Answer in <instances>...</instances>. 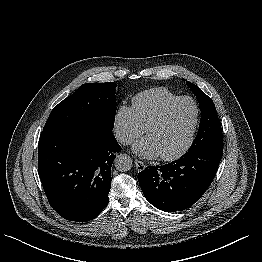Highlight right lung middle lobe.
Listing matches in <instances>:
<instances>
[{"instance_id": "right-lung-middle-lobe-1", "label": "right lung middle lobe", "mask_w": 262, "mask_h": 262, "mask_svg": "<svg viewBox=\"0 0 262 262\" xmlns=\"http://www.w3.org/2000/svg\"><path fill=\"white\" fill-rule=\"evenodd\" d=\"M116 84L87 83L60 102L50 113L43 132L54 130H113L116 114Z\"/></svg>"}]
</instances>
